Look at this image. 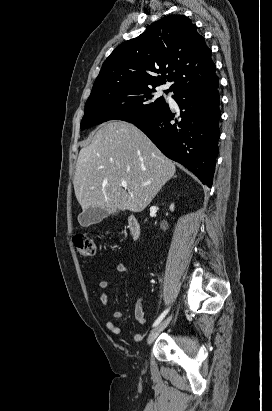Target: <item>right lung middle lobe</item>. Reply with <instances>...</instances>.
<instances>
[{"label":"right lung middle lobe","instance_id":"1","mask_svg":"<svg viewBox=\"0 0 272 411\" xmlns=\"http://www.w3.org/2000/svg\"><path fill=\"white\" fill-rule=\"evenodd\" d=\"M155 93V87L143 86H121L91 92L85 104L81 130L109 120L132 123L147 119L167 105L164 98H157Z\"/></svg>","mask_w":272,"mask_h":411}]
</instances>
